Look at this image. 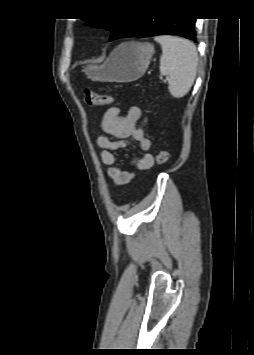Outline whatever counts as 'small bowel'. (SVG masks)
<instances>
[{
  "label": "small bowel",
  "instance_id": "obj_1",
  "mask_svg": "<svg viewBox=\"0 0 254 355\" xmlns=\"http://www.w3.org/2000/svg\"><path fill=\"white\" fill-rule=\"evenodd\" d=\"M141 109L132 106L125 115L118 107L109 108L101 122V127L106 135L97 137V143L102 149L101 160L108 166L107 173L116 185H124L135 177V172L120 167L117 151L124 148L131 140L137 143L140 156L132 161L136 170L144 171L153 167L154 156L149 152L151 141L146 137L142 127L137 126L141 118Z\"/></svg>",
  "mask_w": 254,
  "mask_h": 355
}]
</instances>
